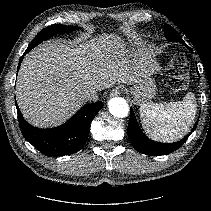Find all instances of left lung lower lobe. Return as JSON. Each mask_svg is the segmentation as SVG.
Instances as JSON below:
<instances>
[{
	"mask_svg": "<svg viewBox=\"0 0 211 211\" xmlns=\"http://www.w3.org/2000/svg\"><path fill=\"white\" fill-rule=\"evenodd\" d=\"M178 42H181L183 44V39L179 40ZM198 120L196 124L194 125L191 132H193L197 126ZM189 135L185 136L183 139L176 143H160L155 142L147 138L140 130L134 111L130 110V119H129V125H128V137L132 144V146L140 153L146 154V155H166L169 154L175 150H177L188 138Z\"/></svg>",
	"mask_w": 211,
	"mask_h": 211,
	"instance_id": "obj_1",
	"label": "left lung lower lobe"
}]
</instances>
